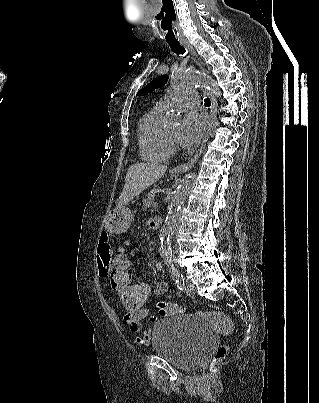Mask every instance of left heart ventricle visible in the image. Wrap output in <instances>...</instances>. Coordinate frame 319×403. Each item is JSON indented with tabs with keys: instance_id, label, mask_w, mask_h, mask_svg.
Masks as SVG:
<instances>
[{
	"instance_id": "b2bd125f",
	"label": "left heart ventricle",
	"mask_w": 319,
	"mask_h": 403,
	"mask_svg": "<svg viewBox=\"0 0 319 403\" xmlns=\"http://www.w3.org/2000/svg\"><path fill=\"white\" fill-rule=\"evenodd\" d=\"M165 131L173 141L177 140V136H178V132H179L178 126L169 127L167 129H165Z\"/></svg>"
}]
</instances>
